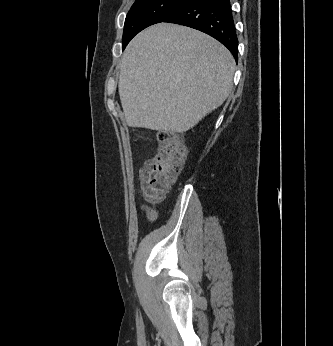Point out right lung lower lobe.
Wrapping results in <instances>:
<instances>
[{
    "mask_svg": "<svg viewBox=\"0 0 333 346\" xmlns=\"http://www.w3.org/2000/svg\"><path fill=\"white\" fill-rule=\"evenodd\" d=\"M163 22L188 26L221 42L238 60V39L230 0H185Z\"/></svg>",
    "mask_w": 333,
    "mask_h": 346,
    "instance_id": "1",
    "label": "right lung lower lobe"
}]
</instances>
